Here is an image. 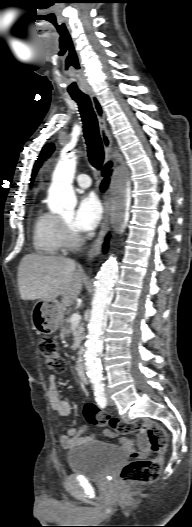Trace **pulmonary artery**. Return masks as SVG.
<instances>
[{"label":"pulmonary artery","instance_id":"obj_1","mask_svg":"<svg viewBox=\"0 0 192 527\" xmlns=\"http://www.w3.org/2000/svg\"><path fill=\"white\" fill-rule=\"evenodd\" d=\"M77 184L82 188H88L91 186V178L87 174H79L76 177Z\"/></svg>","mask_w":192,"mask_h":527}]
</instances>
